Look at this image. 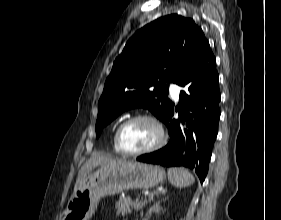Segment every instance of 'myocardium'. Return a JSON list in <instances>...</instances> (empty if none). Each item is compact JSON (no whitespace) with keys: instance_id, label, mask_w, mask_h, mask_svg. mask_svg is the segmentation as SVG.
<instances>
[{"instance_id":"1","label":"myocardium","mask_w":281,"mask_h":220,"mask_svg":"<svg viewBox=\"0 0 281 220\" xmlns=\"http://www.w3.org/2000/svg\"><path fill=\"white\" fill-rule=\"evenodd\" d=\"M138 120H147V121L154 123L158 129L159 138L156 141V143H154L152 146H150L148 148L138 150V151L126 150L122 146V143H121L122 131L128 124H130L134 121H138ZM166 140H167L166 132H165V129H164L162 123L160 122V120L158 118H156L155 116L150 115V114H137V115H134V116L126 119L119 125V127L116 130L115 137H114V142H115V146H116L117 150L121 154L127 155V156H139V155H144V154H148V153L157 151L158 149H160L161 147H163L165 145Z\"/></svg>"}]
</instances>
